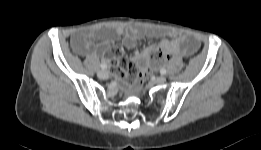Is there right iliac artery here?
<instances>
[{
  "mask_svg": "<svg viewBox=\"0 0 261 150\" xmlns=\"http://www.w3.org/2000/svg\"><path fill=\"white\" fill-rule=\"evenodd\" d=\"M101 68H102L103 70H105V69L107 68V65L104 64V63H102V64H101Z\"/></svg>",
  "mask_w": 261,
  "mask_h": 150,
  "instance_id": "obj_1",
  "label": "right iliac artery"
}]
</instances>
